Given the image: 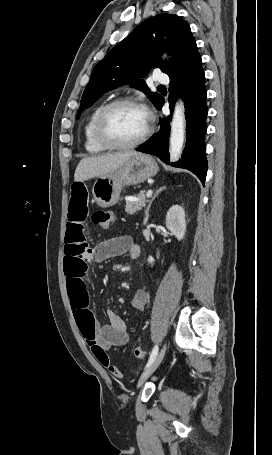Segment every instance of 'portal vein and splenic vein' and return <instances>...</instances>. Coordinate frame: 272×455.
Instances as JSON below:
<instances>
[{
  "instance_id": "portal-vein-and-splenic-vein-1",
  "label": "portal vein and splenic vein",
  "mask_w": 272,
  "mask_h": 455,
  "mask_svg": "<svg viewBox=\"0 0 272 455\" xmlns=\"http://www.w3.org/2000/svg\"><path fill=\"white\" fill-rule=\"evenodd\" d=\"M151 195H152V190H148L146 193L147 198L151 197Z\"/></svg>"
}]
</instances>
